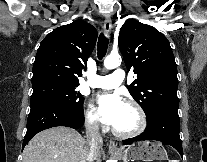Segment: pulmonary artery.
Masks as SVG:
<instances>
[{
    "mask_svg": "<svg viewBox=\"0 0 207 162\" xmlns=\"http://www.w3.org/2000/svg\"><path fill=\"white\" fill-rule=\"evenodd\" d=\"M124 80V72L120 69L115 70L110 75H93V80L89 83L92 87L101 89H113L118 87Z\"/></svg>",
    "mask_w": 207,
    "mask_h": 162,
    "instance_id": "obj_1",
    "label": "pulmonary artery"
}]
</instances>
